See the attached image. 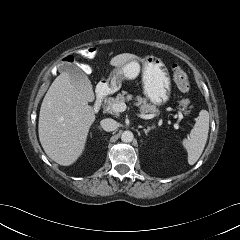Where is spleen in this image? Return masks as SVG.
Returning <instances> with one entry per match:
<instances>
[{
    "label": "spleen",
    "instance_id": "obj_1",
    "mask_svg": "<svg viewBox=\"0 0 240 240\" xmlns=\"http://www.w3.org/2000/svg\"><path fill=\"white\" fill-rule=\"evenodd\" d=\"M209 132V113L201 110L196 123L190 132V136L182 141V145L188 154V163L193 165L200 158Z\"/></svg>",
    "mask_w": 240,
    "mask_h": 240
}]
</instances>
